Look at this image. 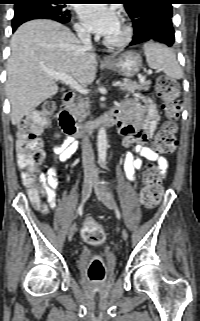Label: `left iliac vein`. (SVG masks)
I'll list each match as a JSON object with an SVG mask.
<instances>
[{"label": "left iliac vein", "instance_id": "obj_1", "mask_svg": "<svg viewBox=\"0 0 200 321\" xmlns=\"http://www.w3.org/2000/svg\"><path fill=\"white\" fill-rule=\"evenodd\" d=\"M95 179L99 180V172H96ZM95 192H96L98 198L103 202V204L107 208H109L111 210L115 209V202H114L112 196L106 191V189L102 185L96 184L95 185ZM122 238L124 240H127V238H128V233H127L126 229H123V231H122Z\"/></svg>", "mask_w": 200, "mask_h": 321}]
</instances>
